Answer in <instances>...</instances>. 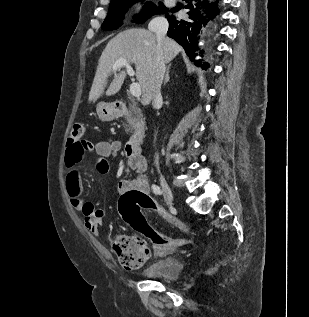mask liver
I'll return each mask as SVG.
<instances>
[{
    "label": "liver",
    "instance_id": "obj_1",
    "mask_svg": "<svg viewBox=\"0 0 309 317\" xmlns=\"http://www.w3.org/2000/svg\"><path fill=\"white\" fill-rule=\"evenodd\" d=\"M159 51H162L165 62L169 63L182 51V48L170 39L158 43L154 33L142 28L128 29L116 35L108 42L98 60L97 71L89 93V102L96 101L104 94L113 65L116 61L125 59L135 65L136 78L142 90L141 103L148 105L154 95ZM120 68L105 92L107 96L116 94L125 80L126 72L121 71Z\"/></svg>",
    "mask_w": 309,
    "mask_h": 317
}]
</instances>
